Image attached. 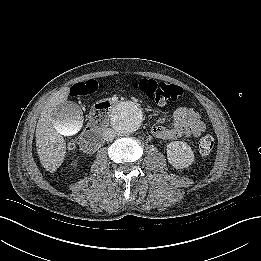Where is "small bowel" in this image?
I'll list each match as a JSON object with an SVG mask.
<instances>
[{
  "label": "small bowel",
  "instance_id": "small-bowel-1",
  "mask_svg": "<svg viewBox=\"0 0 261 261\" xmlns=\"http://www.w3.org/2000/svg\"><path fill=\"white\" fill-rule=\"evenodd\" d=\"M168 116L165 115V118ZM173 125L170 128L154 126L152 134L161 139H176L179 137H198L206 129L200 113L189 107H179L173 113Z\"/></svg>",
  "mask_w": 261,
  "mask_h": 261
}]
</instances>
